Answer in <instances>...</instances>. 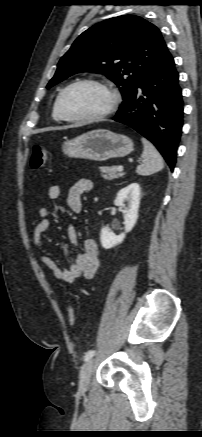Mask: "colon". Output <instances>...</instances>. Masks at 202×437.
Instances as JSON below:
<instances>
[{"instance_id":"colon-1","label":"colon","mask_w":202,"mask_h":437,"mask_svg":"<svg viewBox=\"0 0 202 437\" xmlns=\"http://www.w3.org/2000/svg\"><path fill=\"white\" fill-rule=\"evenodd\" d=\"M48 160V151L41 145H35L32 150L30 165L33 169L41 168ZM68 322L71 326L76 323V310L73 306L68 307Z\"/></svg>"}]
</instances>
